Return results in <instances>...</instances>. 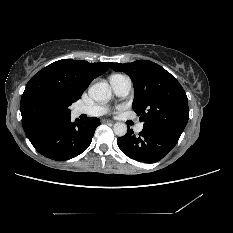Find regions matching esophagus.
<instances>
[{
	"label": "esophagus",
	"mask_w": 233,
	"mask_h": 233,
	"mask_svg": "<svg viewBox=\"0 0 233 233\" xmlns=\"http://www.w3.org/2000/svg\"><path fill=\"white\" fill-rule=\"evenodd\" d=\"M104 122L105 123H112V124L114 123V121H112V120H104Z\"/></svg>",
	"instance_id": "esophagus-1"
}]
</instances>
